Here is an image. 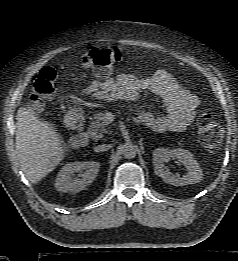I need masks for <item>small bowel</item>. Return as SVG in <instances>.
<instances>
[{
	"mask_svg": "<svg viewBox=\"0 0 238 261\" xmlns=\"http://www.w3.org/2000/svg\"><path fill=\"white\" fill-rule=\"evenodd\" d=\"M83 93L100 101L135 102L144 93L159 97L165 114L155 116L146 111L139 114L140 122L156 132L184 130L193 121L199 105L197 96L182 87L166 70H158L150 76L121 73L105 80H94Z\"/></svg>",
	"mask_w": 238,
	"mask_h": 261,
	"instance_id": "1",
	"label": "small bowel"
}]
</instances>
